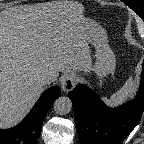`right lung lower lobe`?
Wrapping results in <instances>:
<instances>
[{"label":"right lung lower lobe","mask_w":144,"mask_h":144,"mask_svg":"<svg viewBox=\"0 0 144 144\" xmlns=\"http://www.w3.org/2000/svg\"><path fill=\"white\" fill-rule=\"evenodd\" d=\"M59 95V87L46 90L19 125L0 130V144H37L43 120Z\"/></svg>","instance_id":"1"}]
</instances>
